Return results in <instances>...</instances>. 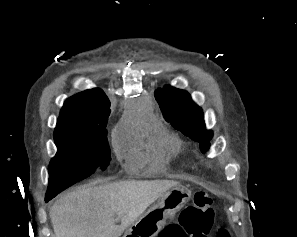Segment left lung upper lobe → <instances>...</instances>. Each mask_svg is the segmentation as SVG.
<instances>
[{"instance_id": "1", "label": "left lung upper lobe", "mask_w": 297, "mask_h": 237, "mask_svg": "<svg viewBox=\"0 0 297 237\" xmlns=\"http://www.w3.org/2000/svg\"><path fill=\"white\" fill-rule=\"evenodd\" d=\"M155 98L165 119L184 135L199 142L200 150L206 152L213 133L205 129L202 109L192 101L191 96L184 90L167 85L155 91Z\"/></svg>"}]
</instances>
